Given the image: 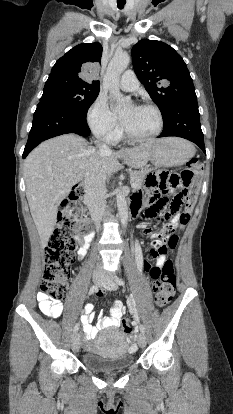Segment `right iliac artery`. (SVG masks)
Returning a JSON list of instances; mask_svg holds the SVG:
<instances>
[{
	"label": "right iliac artery",
	"instance_id": "82829eb1",
	"mask_svg": "<svg viewBox=\"0 0 233 414\" xmlns=\"http://www.w3.org/2000/svg\"><path fill=\"white\" fill-rule=\"evenodd\" d=\"M140 251V249H139V247L138 246H136V253H138ZM98 291V285L96 284V285H93L91 288H90V290H89V295H92V294H94L95 292H97ZM78 329H79V324L77 323L76 325H75V327H74V329H73V333H76L77 331H78Z\"/></svg>",
	"mask_w": 233,
	"mask_h": 414
}]
</instances>
